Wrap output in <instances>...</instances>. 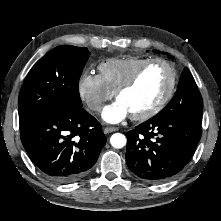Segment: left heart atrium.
<instances>
[{
    "instance_id": "obj_1",
    "label": "left heart atrium",
    "mask_w": 221,
    "mask_h": 221,
    "mask_svg": "<svg viewBox=\"0 0 221 221\" xmlns=\"http://www.w3.org/2000/svg\"><path fill=\"white\" fill-rule=\"evenodd\" d=\"M127 107L117 100L104 108L102 117L108 123H118L129 115Z\"/></svg>"
}]
</instances>
